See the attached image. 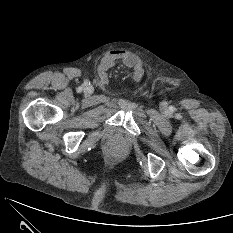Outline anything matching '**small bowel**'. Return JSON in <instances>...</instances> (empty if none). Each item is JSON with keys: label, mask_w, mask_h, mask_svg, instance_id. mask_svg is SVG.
<instances>
[{"label": "small bowel", "mask_w": 233, "mask_h": 233, "mask_svg": "<svg viewBox=\"0 0 233 233\" xmlns=\"http://www.w3.org/2000/svg\"><path fill=\"white\" fill-rule=\"evenodd\" d=\"M117 61H121L125 66L133 70V79L136 82L142 79L144 69L141 61L133 53L123 49L108 52L99 64V71L103 73L107 72L114 67Z\"/></svg>", "instance_id": "c3829d8e"}]
</instances>
